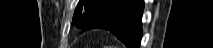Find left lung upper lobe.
<instances>
[{"instance_id":"left-lung-upper-lobe-1","label":"left lung upper lobe","mask_w":213,"mask_h":48,"mask_svg":"<svg viewBox=\"0 0 213 48\" xmlns=\"http://www.w3.org/2000/svg\"><path fill=\"white\" fill-rule=\"evenodd\" d=\"M113 1L114 0H80L73 15V21H76L78 28L83 29L96 12Z\"/></svg>"}]
</instances>
